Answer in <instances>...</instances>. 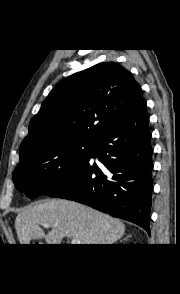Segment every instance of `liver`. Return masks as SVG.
Segmentation results:
<instances>
[{
	"instance_id": "1",
	"label": "liver",
	"mask_w": 180,
	"mask_h": 294,
	"mask_svg": "<svg viewBox=\"0 0 180 294\" xmlns=\"http://www.w3.org/2000/svg\"><path fill=\"white\" fill-rule=\"evenodd\" d=\"M49 223L45 234L40 227ZM20 244L32 239H44L47 244H61L64 237L78 238L81 244H114L125 233L118 219L95 209L64 199H53L29 205L15 219Z\"/></svg>"
}]
</instances>
